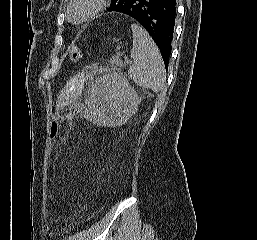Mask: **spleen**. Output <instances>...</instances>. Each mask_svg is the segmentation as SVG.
Listing matches in <instances>:
<instances>
[{
    "mask_svg": "<svg viewBox=\"0 0 257 240\" xmlns=\"http://www.w3.org/2000/svg\"><path fill=\"white\" fill-rule=\"evenodd\" d=\"M133 64L128 70L129 78L142 88L153 92L163 91L166 82L164 63L157 45L142 27L132 24Z\"/></svg>",
    "mask_w": 257,
    "mask_h": 240,
    "instance_id": "obj_1",
    "label": "spleen"
}]
</instances>
